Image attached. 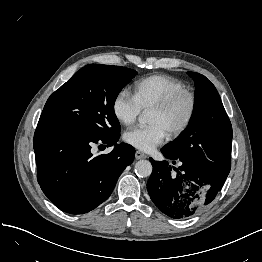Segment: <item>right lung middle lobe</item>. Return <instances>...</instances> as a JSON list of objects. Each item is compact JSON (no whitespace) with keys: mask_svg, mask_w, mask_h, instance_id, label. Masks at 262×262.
<instances>
[{"mask_svg":"<svg viewBox=\"0 0 262 262\" xmlns=\"http://www.w3.org/2000/svg\"><path fill=\"white\" fill-rule=\"evenodd\" d=\"M136 74L121 66L86 65L49 97L39 121L68 125L99 137L119 133L114 103Z\"/></svg>","mask_w":262,"mask_h":262,"instance_id":"1","label":"right lung middle lobe"}]
</instances>
